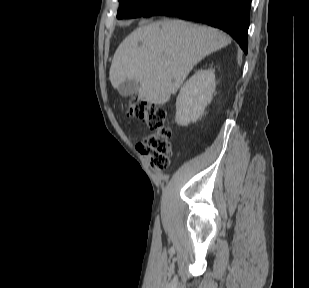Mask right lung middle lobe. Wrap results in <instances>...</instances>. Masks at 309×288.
Returning <instances> with one entry per match:
<instances>
[{"mask_svg":"<svg viewBox=\"0 0 309 288\" xmlns=\"http://www.w3.org/2000/svg\"><path fill=\"white\" fill-rule=\"evenodd\" d=\"M164 0H119L117 18H136L151 10Z\"/></svg>","mask_w":309,"mask_h":288,"instance_id":"1","label":"right lung middle lobe"}]
</instances>
